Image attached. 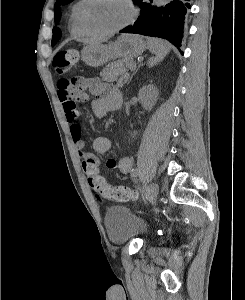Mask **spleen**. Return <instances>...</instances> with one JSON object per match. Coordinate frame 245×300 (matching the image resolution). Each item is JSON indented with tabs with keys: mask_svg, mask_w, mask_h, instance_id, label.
I'll return each instance as SVG.
<instances>
[{
	"mask_svg": "<svg viewBox=\"0 0 245 300\" xmlns=\"http://www.w3.org/2000/svg\"><path fill=\"white\" fill-rule=\"evenodd\" d=\"M147 45L149 50L155 55L154 58H150L148 62L149 67H153L158 62L162 61L170 51V45L164 40L156 38H148Z\"/></svg>",
	"mask_w": 245,
	"mask_h": 300,
	"instance_id": "spleen-1",
	"label": "spleen"
}]
</instances>
